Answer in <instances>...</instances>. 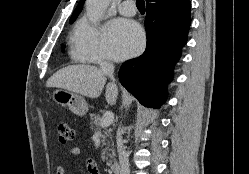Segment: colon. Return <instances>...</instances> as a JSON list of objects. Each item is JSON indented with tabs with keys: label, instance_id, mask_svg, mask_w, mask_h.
Wrapping results in <instances>:
<instances>
[{
	"label": "colon",
	"instance_id": "colon-1",
	"mask_svg": "<svg viewBox=\"0 0 249 174\" xmlns=\"http://www.w3.org/2000/svg\"><path fill=\"white\" fill-rule=\"evenodd\" d=\"M56 131L61 144L66 145L74 138V131L66 120H58L56 122Z\"/></svg>",
	"mask_w": 249,
	"mask_h": 174
}]
</instances>
